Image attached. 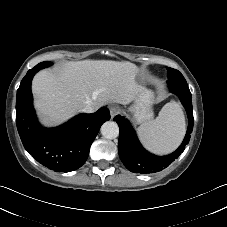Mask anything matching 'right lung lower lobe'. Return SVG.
<instances>
[{
  "instance_id": "98d812e1",
  "label": "right lung lower lobe",
  "mask_w": 227,
  "mask_h": 227,
  "mask_svg": "<svg viewBox=\"0 0 227 227\" xmlns=\"http://www.w3.org/2000/svg\"><path fill=\"white\" fill-rule=\"evenodd\" d=\"M38 68L30 69L17 90L16 124L24 148L39 163L56 172L80 168L101 125L110 119L109 109L92 114H79L67 123L47 129L36 118L31 81Z\"/></svg>"
}]
</instances>
